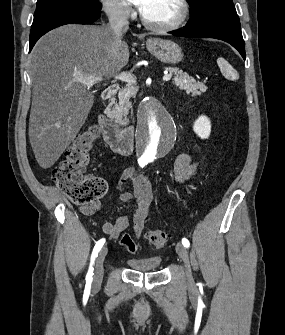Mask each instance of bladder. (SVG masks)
Segmentation results:
<instances>
[{
    "mask_svg": "<svg viewBox=\"0 0 285 335\" xmlns=\"http://www.w3.org/2000/svg\"><path fill=\"white\" fill-rule=\"evenodd\" d=\"M127 265L131 271L140 273H153L154 265H162V256H148L145 258H127Z\"/></svg>",
    "mask_w": 285,
    "mask_h": 335,
    "instance_id": "obj_1",
    "label": "bladder"
}]
</instances>
